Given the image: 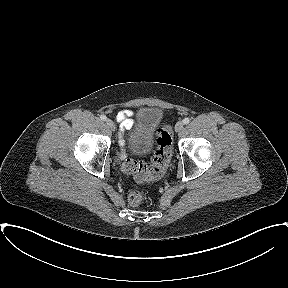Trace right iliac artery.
Masks as SVG:
<instances>
[{"instance_id": "right-iliac-artery-1", "label": "right iliac artery", "mask_w": 288, "mask_h": 288, "mask_svg": "<svg viewBox=\"0 0 288 288\" xmlns=\"http://www.w3.org/2000/svg\"><path fill=\"white\" fill-rule=\"evenodd\" d=\"M100 118H101V120H103V121H106V120H107V117H106L105 115H101Z\"/></svg>"}]
</instances>
